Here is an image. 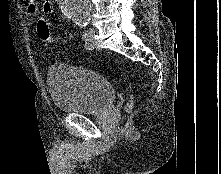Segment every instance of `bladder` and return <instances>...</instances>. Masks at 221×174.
Here are the masks:
<instances>
[{"label":"bladder","instance_id":"obj_1","mask_svg":"<svg viewBox=\"0 0 221 174\" xmlns=\"http://www.w3.org/2000/svg\"><path fill=\"white\" fill-rule=\"evenodd\" d=\"M46 81L50 98L62 113L99 114L115 100L111 82L81 66L55 64L48 69Z\"/></svg>","mask_w":221,"mask_h":174}]
</instances>
